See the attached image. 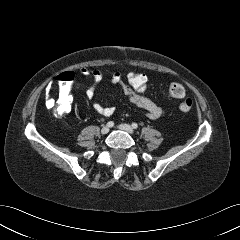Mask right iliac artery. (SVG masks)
<instances>
[{
	"label": "right iliac artery",
	"instance_id": "right-iliac-artery-1",
	"mask_svg": "<svg viewBox=\"0 0 240 240\" xmlns=\"http://www.w3.org/2000/svg\"><path fill=\"white\" fill-rule=\"evenodd\" d=\"M107 126H108V127H113V126H114V122H113V121H109V122L107 123Z\"/></svg>",
	"mask_w": 240,
	"mask_h": 240
}]
</instances>
